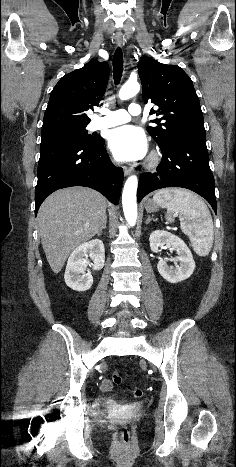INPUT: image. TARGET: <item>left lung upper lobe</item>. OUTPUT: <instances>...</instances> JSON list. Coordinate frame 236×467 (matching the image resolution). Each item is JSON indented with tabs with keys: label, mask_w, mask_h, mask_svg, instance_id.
<instances>
[{
	"label": "left lung upper lobe",
	"mask_w": 236,
	"mask_h": 467,
	"mask_svg": "<svg viewBox=\"0 0 236 467\" xmlns=\"http://www.w3.org/2000/svg\"><path fill=\"white\" fill-rule=\"evenodd\" d=\"M138 73L144 102L159 106L158 110L150 111L159 117L151 120L158 126L147 127L159 147H166L182 134L205 133L198 96L192 80L182 68L143 57L138 62Z\"/></svg>",
	"instance_id": "5c2ea615"
}]
</instances>
